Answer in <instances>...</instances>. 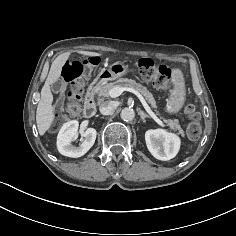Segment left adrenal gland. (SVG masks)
Segmentation results:
<instances>
[{
    "label": "left adrenal gland",
    "mask_w": 236,
    "mask_h": 236,
    "mask_svg": "<svg viewBox=\"0 0 236 236\" xmlns=\"http://www.w3.org/2000/svg\"><path fill=\"white\" fill-rule=\"evenodd\" d=\"M138 114L140 115L141 120H142L143 123L146 122V120H145L146 118H150V117H149L146 113H144L142 110H140Z\"/></svg>",
    "instance_id": "obj_1"
}]
</instances>
